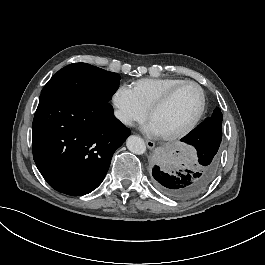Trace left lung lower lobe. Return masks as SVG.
I'll return each instance as SVG.
<instances>
[{
	"mask_svg": "<svg viewBox=\"0 0 265 265\" xmlns=\"http://www.w3.org/2000/svg\"><path fill=\"white\" fill-rule=\"evenodd\" d=\"M222 132L206 124L198 125L181 141L193 146L198 160L193 168L170 170L164 159L158 161L150 175L151 184L164 196L186 200L208 188L219 169V146Z\"/></svg>",
	"mask_w": 265,
	"mask_h": 265,
	"instance_id": "obj_1",
	"label": "left lung lower lobe"
}]
</instances>
